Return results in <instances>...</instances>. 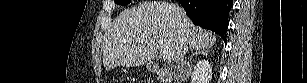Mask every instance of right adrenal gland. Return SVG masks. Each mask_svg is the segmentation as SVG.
<instances>
[{
	"label": "right adrenal gland",
	"mask_w": 307,
	"mask_h": 83,
	"mask_svg": "<svg viewBox=\"0 0 307 83\" xmlns=\"http://www.w3.org/2000/svg\"><path fill=\"white\" fill-rule=\"evenodd\" d=\"M208 54V50H199V51H196L194 54H192L191 58H190V61L192 60V58L194 56H197V55H204V56H207Z\"/></svg>",
	"instance_id": "1"
}]
</instances>
